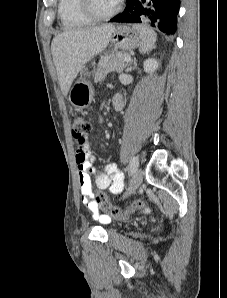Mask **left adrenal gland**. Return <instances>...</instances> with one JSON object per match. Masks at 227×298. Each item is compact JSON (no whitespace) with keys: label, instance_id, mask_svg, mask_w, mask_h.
Here are the masks:
<instances>
[{"label":"left adrenal gland","instance_id":"a2214340","mask_svg":"<svg viewBox=\"0 0 227 298\" xmlns=\"http://www.w3.org/2000/svg\"><path fill=\"white\" fill-rule=\"evenodd\" d=\"M135 58L134 59H131V61L129 62V64H128V66L130 67L133 63H134V65H135Z\"/></svg>","mask_w":227,"mask_h":298}]
</instances>
